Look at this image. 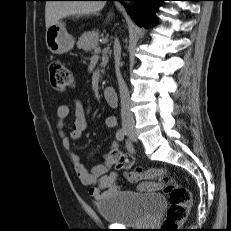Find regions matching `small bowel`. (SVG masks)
I'll use <instances>...</instances> for the list:
<instances>
[{"label":"small bowel","mask_w":231,"mask_h":231,"mask_svg":"<svg viewBox=\"0 0 231 231\" xmlns=\"http://www.w3.org/2000/svg\"><path fill=\"white\" fill-rule=\"evenodd\" d=\"M70 115L68 105L62 104L57 108V127L61 136V145L67 152L68 159L73 165L79 181L88 186L90 196L95 200H101L104 197L117 193L122 190V186L118 183L119 172L114 170L110 173L109 170L116 166L112 158L108 155L100 164L86 168L80 161L79 156L72 149V141L81 139L84 130L87 127L86 111L81 101H75L74 107V122L68 134L63 130L64 123ZM106 128H114L116 118L108 116L104 120ZM118 149V142L111 145V152ZM161 189V184L144 181L139 183L137 190L140 192H155Z\"/></svg>","instance_id":"small-bowel-1"}]
</instances>
